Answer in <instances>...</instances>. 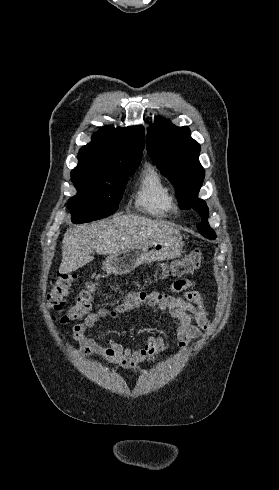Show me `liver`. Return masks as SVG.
<instances>
[{
    "mask_svg": "<svg viewBox=\"0 0 279 490\" xmlns=\"http://www.w3.org/2000/svg\"><path fill=\"white\" fill-rule=\"evenodd\" d=\"M179 236L168 222H155L140 216H120L101 220L89 226H77L67 232L62 242L60 274H70L94 260L93 250L101 256L118 254L126 248H136L155 238Z\"/></svg>",
    "mask_w": 279,
    "mask_h": 490,
    "instance_id": "6515ba94",
    "label": "liver"
}]
</instances>
